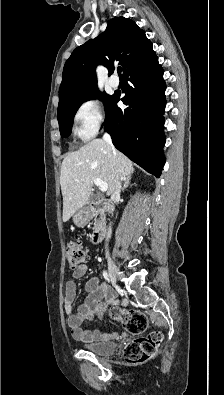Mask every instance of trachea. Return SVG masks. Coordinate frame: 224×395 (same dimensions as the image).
<instances>
[{
  "label": "trachea",
  "instance_id": "trachea-1",
  "mask_svg": "<svg viewBox=\"0 0 224 395\" xmlns=\"http://www.w3.org/2000/svg\"><path fill=\"white\" fill-rule=\"evenodd\" d=\"M117 72H118L119 77L122 78V74H121L122 68L121 67L117 68Z\"/></svg>",
  "mask_w": 224,
  "mask_h": 395
}]
</instances>
